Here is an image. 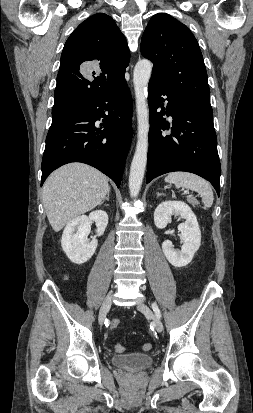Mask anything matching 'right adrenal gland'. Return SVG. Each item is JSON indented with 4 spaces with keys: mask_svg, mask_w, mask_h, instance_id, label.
<instances>
[{
    "mask_svg": "<svg viewBox=\"0 0 253 413\" xmlns=\"http://www.w3.org/2000/svg\"><path fill=\"white\" fill-rule=\"evenodd\" d=\"M109 196H110V191L107 193L106 198H104L99 205L101 206L105 202V200L109 201Z\"/></svg>",
    "mask_w": 253,
    "mask_h": 413,
    "instance_id": "right-adrenal-gland-1",
    "label": "right adrenal gland"
}]
</instances>
